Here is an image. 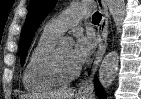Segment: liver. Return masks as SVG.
<instances>
[{
    "label": "liver",
    "mask_w": 141,
    "mask_h": 99,
    "mask_svg": "<svg viewBox=\"0 0 141 99\" xmlns=\"http://www.w3.org/2000/svg\"><path fill=\"white\" fill-rule=\"evenodd\" d=\"M73 98H74L73 90H60L39 95L24 94L19 97V99H73Z\"/></svg>",
    "instance_id": "1"
}]
</instances>
